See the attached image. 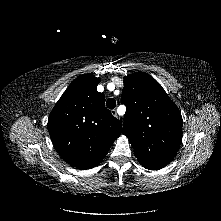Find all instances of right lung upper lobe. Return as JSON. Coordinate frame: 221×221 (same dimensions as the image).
I'll return each mask as SVG.
<instances>
[{"mask_svg": "<svg viewBox=\"0 0 221 221\" xmlns=\"http://www.w3.org/2000/svg\"><path fill=\"white\" fill-rule=\"evenodd\" d=\"M100 78L77 77L50 113L48 130L54 147L70 165L90 169L98 165L122 125L105 107V96L97 91Z\"/></svg>", "mask_w": 221, "mask_h": 221, "instance_id": "1", "label": "right lung upper lobe"}]
</instances>
